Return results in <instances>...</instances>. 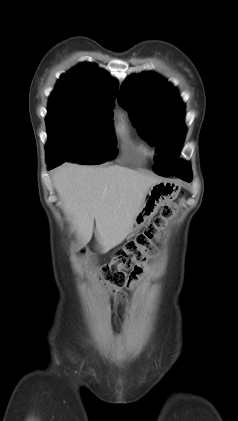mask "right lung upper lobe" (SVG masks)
<instances>
[{
    "label": "right lung upper lobe",
    "instance_id": "right-lung-upper-lobe-1",
    "mask_svg": "<svg viewBox=\"0 0 238 421\" xmlns=\"http://www.w3.org/2000/svg\"><path fill=\"white\" fill-rule=\"evenodd\" d=\"M118 82L93 63H81L58 80L51 96L80 98L114 105Z\"/></svg>",
    "mask_w": 238,
    "mask_h": 421
}]
</instances>
